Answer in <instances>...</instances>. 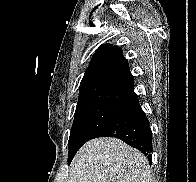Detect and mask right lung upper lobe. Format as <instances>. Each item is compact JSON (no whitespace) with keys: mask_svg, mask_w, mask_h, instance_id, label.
I'll return each instance as SVG.
<instances>
[{"mask_svg":"<svg viewBox=\"0 0 196 182\" xmlns=\"http://www.w3.org/2000/svg\"><path fill=\"white\" fill-rule=\"evenodd\" d=\"M128 61L118 46L103 44L93 55L80 84L76 108L94 103L139 105Z\"/></svg>","mask_w":196,"mask_h":182,"instance_id":"right-lung-upper-lobe-1","label":"right lung upper lobe"}]
</instances>
